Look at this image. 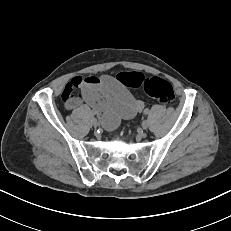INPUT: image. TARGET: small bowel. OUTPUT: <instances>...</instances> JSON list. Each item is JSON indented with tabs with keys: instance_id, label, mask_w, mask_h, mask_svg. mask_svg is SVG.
<instances>
[{
	"instance_id": "small-bowel-1",
	"label": "small bowel",
	"mask_w": 231,
	"mask_h": 231,
	"mask_svg": "<svg viewBox=\"0 0 231 231\" xmlns=\"http://www.w3.org/2000/svg\"><path fill=\"white\" fill-rule=\"evenodd\" d=\"M75 90L80 93L75 95ZM62 98L68 109L87 104L108 130L115 129L121 120L133 118L144 108L143 101L109 75L75 76L63 87Z\"/></svg>"
}]
</instances>
